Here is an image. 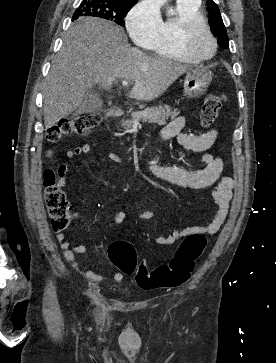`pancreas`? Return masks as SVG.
Here are the masks:
<instances>
[{
	"mask_svg": "<svg viewBox=\"0 0 276 363\" xmlns=\"http://www.w3.org/2000/svg\"><path fill=\"white\" fill-rule=\"evenodd\" d=\"M146 115H142L140 112L132 113L131 118L122 119L121 126L125 129H130L135 120H143L149 123H157L159 125L166 124V120L169 117H176L180 112L176 109L172 110L170 106H159V107H151L147 108L144 111ZM129 115V113L127 114Z\"/></svg>",
	"mask_w": 276,
	"mask_h": 363,
	"instance_id": "pancreas-1",
	"label": "pancreas"
}]
</instances>
